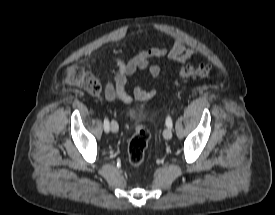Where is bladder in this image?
<instances>
[{
	"instance_id": "obj_1",
	"label": "bladder",
	"mask_w": 275,
	"mask_h": 215,
	"mask_svg": "<svg viewBox=\"0 0 275 215\" xmlns=\"http://www.w3.org/2000/svg\"><path fill=\"white\" fill-rule=\"evenodd\" d=\"M128 115H129V117L132 118V119H139V114H138V113H135L133 107H129V108H128Z\"/></svg>"
}]
</instances>
